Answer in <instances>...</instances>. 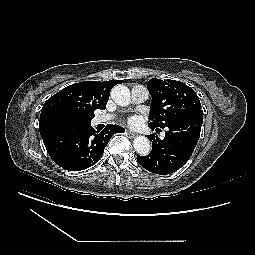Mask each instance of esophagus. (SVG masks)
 <instances>
[{"label":"esophagus","instance_id":"obj_1","mask_svg":"<svg viewBox=\"0 0 255 255\" xmlns=\"http://www.w3.org/2000/svg\"><path fill=\"white\" fill-rule=\"evenodd\" d=\"M125 134H126L127 136L131 137V138H133V137L135 136L134 132L131 131L130 129H127L126 132H125Z\"/></svg>","mask_w":255,"mask_h":255}]
</instances>
